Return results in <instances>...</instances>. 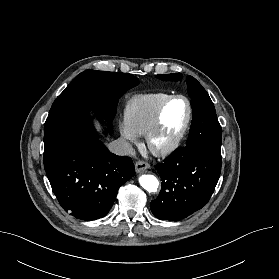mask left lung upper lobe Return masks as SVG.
Listing matches in <instances>:
<instances>
[{"label": "left lung upper lobe", "mask_w": 279, "mask_h": 279, "mask_svg": "<svg viewBox=\"0 0 279 279\" xmlns=\"http://www.w3.org/2000/svg\"><path fill=\"white\" fill-rule=\"evenodd\" d=\"M163 81H178L180 73L157 75ZM187 90L193 109L192 124L186 146L202 149L216 157H221V126L208 93L192 76H187Z\"/></svg>", "instance_id": "1"}]
</instances>
